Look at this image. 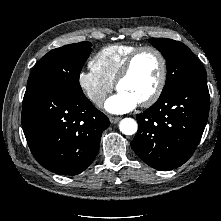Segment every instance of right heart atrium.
I'll return each instance as SVG.
<instances>
[{
    "label": "right heart atrium",
    "instance_id": "obj_1",
    "mask_svg": "<svg viewBox=\"0 0 221 221\" xmlns=\"http://www.w3.org/2000/svg\"><path fill=\"white\" fill-rule=\"evenodd\" d=\"M78 85L84 95L96 106L102 105L114 88V83L99 75L92 67L80 71Z\"/></svg>",
    "mask_w": 221,
    "mask_h": 221
}]
</instances>
